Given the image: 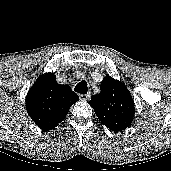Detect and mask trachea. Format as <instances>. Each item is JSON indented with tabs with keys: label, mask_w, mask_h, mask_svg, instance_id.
<instances>
[{
	"label": "trachea",
	"mask_w": 171,
	"mask_h": 171,
	"mask_svg": "<svg viewBox=\"0 0 171 171\" xmlns=\"http://www.w3.org/2000/svg\"><path fill=\"white\" fill-rule=\"evenodd\" d=\"M74 91L81 93V94H87V91H88L87 82L85 80L79 82L75 86Z\"/></svg>",
	"instance_id": "3493384b"
}]
</instances>
